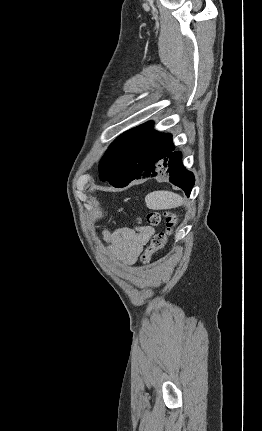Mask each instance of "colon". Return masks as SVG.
<instances>
[{
	"instance_id": "1",
	"label": "colon",
	"mask_w": 262,
	"mask_h": 431,
	"mask_svg": "<svg viewBox=\"0 0 262 431\" xmlns=\"http://www.w3.org/2000/svg\"><path fill=\"white\" fill-rule=\"evenodd\" d=\"M162 218H164L166 221V230L153 235L150 246L142 254V260L144 262L150 261L154 253L164 249L167 239L178 221L177 217L170 212L160 213L157 211H152L147 214L146 222L151 226H157L160 224Z\"/></svg>"
}]
</instances>
